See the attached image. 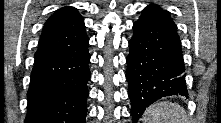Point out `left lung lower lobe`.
Wrapping results in <instances>:
<instances>
[{
	"mask_svg": "<svg viewBox=\"0 0 221 123\" xmlns=\"http://www.w3.org/2000/svg\"><path fill=\"white\" fill-rule=\"evenodd\" d=\"M126 77L133 121L157 99L186 96L185 67L177 26L158 5L147 6L133 24Z\"/></svg>",
	"mask_w": 221,
	"mask_h": 123,
	"instance_id": "0a47b994",
	"label": "left lung lower lobe"
}]
</instances>
